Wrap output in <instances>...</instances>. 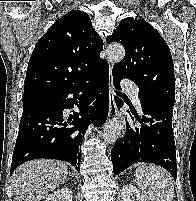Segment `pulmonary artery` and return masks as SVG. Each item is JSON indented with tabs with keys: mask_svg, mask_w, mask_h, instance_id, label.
<instances>
[{
	"mask_svg": "<svg viewBox=\"0 0 196 201\" xmlns=\"http://www.w3.org/2000/svg\"><path fill=\"white\" fill-rule=\"evenodd\" d=\"M121 86L123 89L128 90L133 98L138 102L139 89L134 83L129 80H123Z\"/></svg>",
	"mask_w": 196,
	"mask_h": 201,
	"instance_id": "obj_1",
	"label": "pulmonary artery"
}]
</instances>
